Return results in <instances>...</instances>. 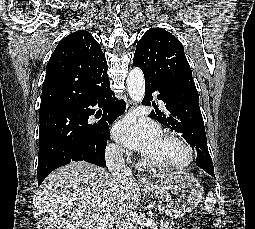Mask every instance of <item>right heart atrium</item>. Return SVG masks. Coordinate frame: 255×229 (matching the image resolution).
<instances>
[{
  "label": "right heart atrium",
  "mask_w": 255,
  "mask_h": 229,
  "mask_svg": "<svg viewBox=\"0 0 255 229\" xmlns=\"http://www.w3.org/2000/svg\"><path fill=\"white\" fill-rule=\"evenodd\" d=\"M107 153L113 157H119L124 153V149L116 144H110L107 146Z\"/></svg>",
  "instance_id": "d8ad5b80"
}]
</instances>
